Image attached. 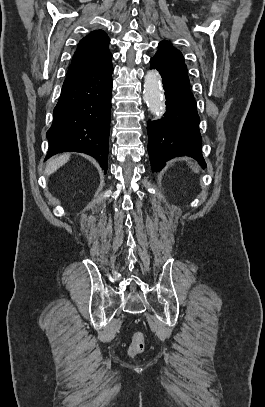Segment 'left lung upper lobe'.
<instances>
[{
	"instance_id": "1",
	"label": "left lung upper lobe",
	"mask_w": 265,
	"mask_h": 407,
	"mask_svg": "<svg viewBox=\"0 0 265 407\" xmlns=\"http://www.w3.org/2000/svg\"><path fill=\"white\" fill-rule=\"evenodd\" d=\"M153 58L173 73L188 79L187 66L184 63V57L169 41L165 40L159 43V49Z\"/></svg>"
}]
</instances>
